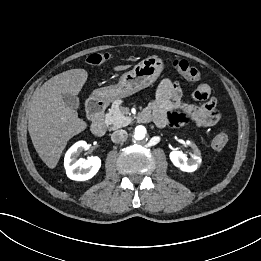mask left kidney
Listing matches in <instances>:
<instances>
[{
	"label": "left kidney",
	"mask_w": 261,
	"mask_h": 261,
	"mask_svg": "<svg viewBox=\"0 0 261 261\" xmlns=\"http://www.w3.org/2000/svg\"><path fill=\"white\" fill-rule=\"evenodd\" d=\"M187 145H191L194 150L193 154H191V158L188 159L185 154L175 150L170 152L169 157L173 165L181 171L194 172L202 162L201 153L197 146L190 141H187Z\"/></svg>",
	"instance_id": "left-kidney-1"
}]
</instances>
